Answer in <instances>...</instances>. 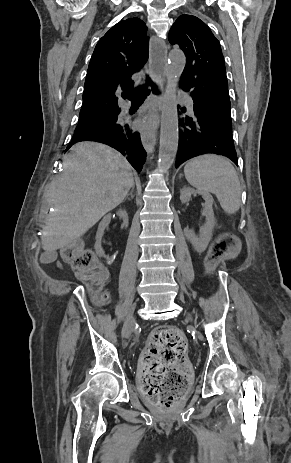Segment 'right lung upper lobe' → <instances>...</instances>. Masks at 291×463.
I'll return each instance as SVG.
<instances>
[{
	"mask_svg": "<svg viewBox=\"0 0 291 463\" xmlns=\"http://www.w3.org/2000/svg\"><path fill=\"white\" fill-rule=\"evenodd\" d=\"M146 30L143 21L130 18L114 25L100 39L88 66L79 119L120 111L115 93L133 87L132 74L148 59Z\"/></svg>",
	"mask_w": 291,
	"mask_h": 463,
	"instance_id": "cb5924a9",
	"label": "right lung upper lobe"
}]
</instances>
